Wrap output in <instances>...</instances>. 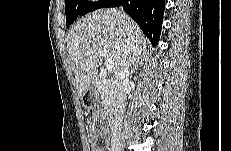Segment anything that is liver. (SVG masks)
Instances as JSON below:
<instances>
[{
  "instance_id": "obj_1",
  "label": "liver",
  "mask_w": 231,
  "mask_h": 151,
  "mask_svg": "<svg viewBox=\"0 0 231 151\" xmlns=\"http://www.w3.org/2000/svg\"><path fill=\"white\" fill-rule=\"evenodd\" d=\"M131 48L128 61L132 69L148 46L139 26L117 9H98L78 20L67 35L68 56L73 67L77 94L83 97L93 82L101 51L114 62L117 73L125 50Z\"/></svg>"
}]
</instances>
